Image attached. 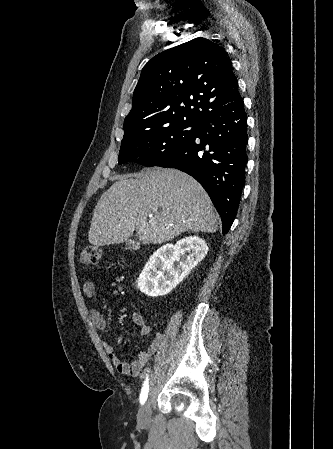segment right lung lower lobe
<instances>
[{"label":"right lung lower lobe","mask_w":333,"mask_h":449,"mask_svg":"<svg viewBox=\"0 0 333 449\" xmlns=\"http://www.w3.org/2000/svg\"><path fill=\"white\" fill-rule=\"evenodd\" d=\"M247 115L243 99L208 114L195 134L156 166L179 169L207 191L223 221L226 234L236 215L248 161Z\"/></svg>","instance_id":"98d812e1"}]
</instances>
